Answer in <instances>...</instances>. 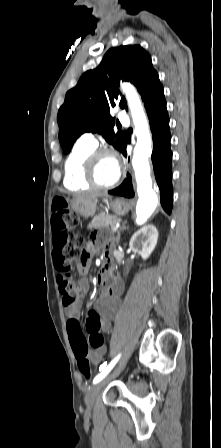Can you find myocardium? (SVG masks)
I'll use <instances>...</instances> for the list:
<instances>
[{"instance_id":"obj_1","label":"myocardium","mask_w":221,"mask_h":448,"mask_svg":"<svg viewBox=\"0 0 221 448\" xmlns=\"http://www.w3.org/2000/svg\"><path fill=\"white\" fill-rule=\"evenodd\" d=\"M103 155L112 156L118 164V174H117L116 178L114 179V181L109 184H101L97 180L96 175H95L96 161L100 156H103ZM83 177H84V180L89 185H91L92 187L98 188V189L107 190V189H112V188L116 187L120 183V181L123 177V169L119 162L117 154L114 151H112L110 149H106V148L92 150L84 159Z\"/></svg>"}]
</instances>
